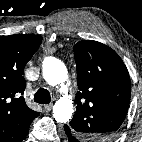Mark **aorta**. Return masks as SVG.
Returning <instances> with one entry per match:
<instances>
[{
  "label": "aorta",
  "mask_w": 142,
  "mask_h": 142,
  "mask_svg": "<svg viewBox=\"0 0 142 142\" xmlns=\"http://www.w3.org/2000/svg\"><path fill=\"white\" fill-rule=\"evenodd\" d=\"M42 74L50 86H62L67 79V69L62 61L54 57H46L42 65ZM73 103L70 97L60 98L53 107V117L57 122L65 123L73 114Z\"/></svg>",
  "instance_id": "1"
}]
</instances>
